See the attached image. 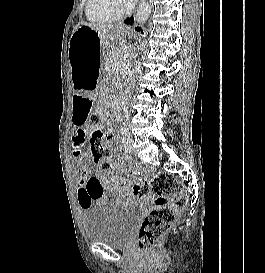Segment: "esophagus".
Listing matches in <instances>:
<instances>
[{
    "instance_id": "esophagus-1",
    "label": "esophagus",
    "mask_w": 265,
    "mask_h": 273,
    "mask_svg": "<svg viewBox=\"0 0 265 273\" xmlns=\"http://www.w3.org/2000/svg\"><path fill=\"white\" fill-rule=\"evenodd\" d=\"M142 0H139V3L141 2ZM135 22V17L134 16H128V17H125L121 24L123 26H126V27H130L133 23Z\"/></svg>"
}]
</instances>
